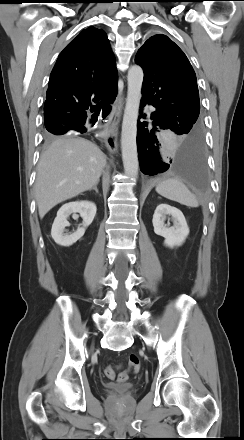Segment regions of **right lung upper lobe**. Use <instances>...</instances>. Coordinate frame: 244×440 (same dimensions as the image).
<instances>
[{"label": "right lung upper lobe", "instance_id": "1", "mask_svg": "<svg viewBox=\"0 0 244 440\" xmlns=\"http://www.w3.org/2000/svg\"><path fill=\"white\" fill-rule=\"evenodd\" d=\"M117 95L115 58L105 32L88 27L60 53L44 105L45 126L86 116L94 102Z\"/></svg>", "mask_w": 244, "mask_h": 440}]
</instances>
